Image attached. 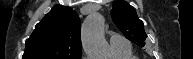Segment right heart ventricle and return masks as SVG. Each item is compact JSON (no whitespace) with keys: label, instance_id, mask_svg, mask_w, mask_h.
Listing matches in <instances>:
<instances>
[{"label":"right heart ventricle","instance_id":"e07e8e85","mask_svg":"<svg viewBox=\"0 0 193 59\" xmlns=\"http://www.w3.org/2000/svg\"><path fill=\"white\" fill-rule=\"evenodd\" d=\"M115 53L118 59H134L131 49L126 51H115Z\"/></svg>","mask_w":193,"mask_h":59}]
</instances>
